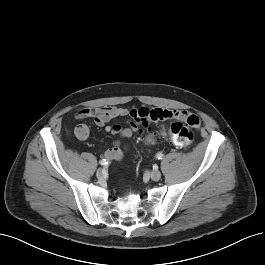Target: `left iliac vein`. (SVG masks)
<instances>
[{"mask_svg": "<svg viewBox=\"0 0 265 265\" xmlns=\"http://www.w3.org/2000/svg\"><path fill=\"white\" fill-rule=\"evenodd\" d=\"M150 178L153 181H158L161 178V172L158 170H153L150 172Z\"/></svg>", "mask_w": 265, "mask_h": 265, "instance_id": "1", "label": "left iliac vein"}]
</instances>
